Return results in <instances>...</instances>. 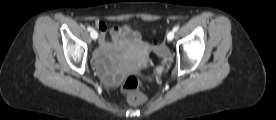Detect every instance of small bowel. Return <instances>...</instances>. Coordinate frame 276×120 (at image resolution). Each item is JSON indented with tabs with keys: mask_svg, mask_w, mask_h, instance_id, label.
I'll return each mask as SVG.
<instances>
[{
	"mask_svg": "<svg viewBox=\"0 0 276 120\" xmlns=\"http://www.w3.org/2000/svg\"><path fill=\"white\" fill-rule=\"evenodd\" d=\"M100 32L99 49L96 52L95 66L98 74L110 84L116 83L119 74L114 54L139 42V33L130 26H116L108 30L105 22L96 24Z\"/></svg>",
	"mask_w": 276,
	"mask_h": 120,
	"instance_id": "obj_1",
	"label": "small bowel"
}]
</instances>
